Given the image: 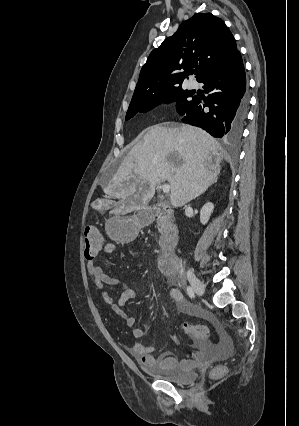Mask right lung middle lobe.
<instances>
[{
	"instance_id": "dd1d6c3e",
	"label": "right lung middle lobe",
	"mask_w": 299,
	"mask_h": 426,
	"mask_svg": "<svg viewBox=\"0 0 299 426\" xmlns=\"http://www.w3.org/2000/svg\"><path fill=\"white\" fill-rule=\"evenodd\" d=\"M193 98L191 92L183 90L180 86L171 87L153 94H150L142 99L131 101L125 120L131 119L139 112H147L157 105L176 102L177 111H182L187 107Z\"/></svg>"
}]
</instances>
